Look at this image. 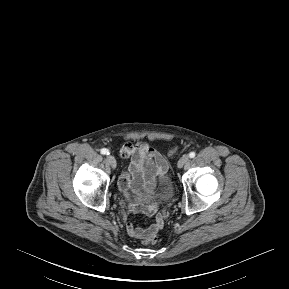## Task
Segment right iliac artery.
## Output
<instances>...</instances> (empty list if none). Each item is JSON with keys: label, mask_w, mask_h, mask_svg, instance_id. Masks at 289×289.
<instances>
[{"label": "right iliac artery", "mask_w": 289, "mask_h": 289, "mask_svg": "<svg viewBox=\"0 0 289 289\" xmlns=\"http://www.w3.org/2000/svg\"><path fill=\"white\" fill-rule=\"evenodd\" d=\"M101 154L103 155H109V150L106 148L101 149Z\"/></svg>", "instance_id": "obj_1"}]
</instances>
